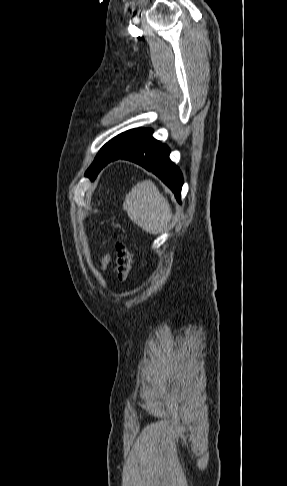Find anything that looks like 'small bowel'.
<instances>
[{"label":"small bowel","instance_id":"1","mask_svg":"<svg viewBox=\"0 0 287 486\" xmlns=\"http://www.w3.org/2000/svg\"><path fill=\"white\" fill-rule=\"evenodd\" d=\"M109 261V256L108 255H105L103 258H102V261H101V266L102 268H105L106 267V264L108 263Z\"/></svg>","mask_w":287,"mask_h":486}]
</instances>
